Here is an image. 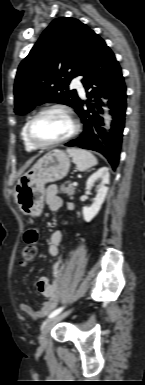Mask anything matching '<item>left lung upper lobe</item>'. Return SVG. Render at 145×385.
<instances>
[{
    "mask_svg": "<svg viewBox=\"0 0 145 385\" xmlns=\"http://www.w3.org/2000/svg\"><path fill=\"white\" fill-rule=\"evenodd\" d=\"M94 34L74 18L60 17L51 22L19 65L14 86L16 114H26L46 102L78 109L81 100L76 91L65 90L79 75Z\"/></svg>",
    "mask_w": 145,
    "mask_h": 385,
    "instance_id": "5c2ea615",
    "label": "left lung upper lobe"
}]
</instances>
